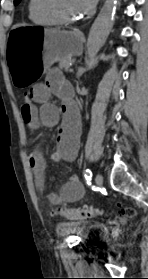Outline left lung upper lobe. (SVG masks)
<instances>
[{
    "instance_id": "5c2ea615",
    "label": "left lung upper lobe",
    "mask_w": 148,
    "mask_h": 279,
    "mask_svg": "<svg viewBox=\"0 0 148 279\" xmlns=\"http://www.w3.org/2000/svg\"><path fill=\"white\" fill-rule=\"evenodd\" d=\"M21 0H14V4L17 5Z\"/></svg>"
}]
</instances>
